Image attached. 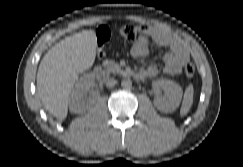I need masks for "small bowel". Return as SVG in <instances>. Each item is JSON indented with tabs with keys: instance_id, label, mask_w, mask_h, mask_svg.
<instances>
[{
	"instance_id": "1",
	"label": "small bowel",
	"mask_w": 243,
	"mask_h": 167,
	"mask_svg": "<svg viewBox=\"0 0 243 167\" xmlns=\"http://www.w3.org/2000/svg\"><path fill=\"white\" fill-rule=\"evenodd\" d=\"M153 41L162 47L168 48V52L163 57L162 72L167 75H176L181 72L183 65L189 60V53L186 45L169 32L154 28L151 33ZM148 37L138 38L131 48V55L136 59L146 56L148 51ZM160 69L156 65H151L144 70L138 71L137 77H155Z\"/></svg>"
}]
</instances>
